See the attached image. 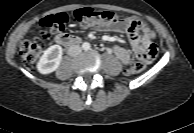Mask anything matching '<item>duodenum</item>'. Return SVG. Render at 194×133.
Segmentation results:
<instances>
[{
  "label": "duodenum",
  "mask_w": 194,
  "mask_h": 133,
  "mask_svg": "<svg viewBox=\"0 0 194 133\" xmlns=\"http://www.w3.org/2000/svg\"><path fill=\"white\" fill-rule=\"evenodd\" d=\"M56 42L61 46L70 47L79 44L81 40L77 36L69 34H59L56 37Z\"/></svg>",
  "instance_id": "410a0bca"
}]
</instances>
